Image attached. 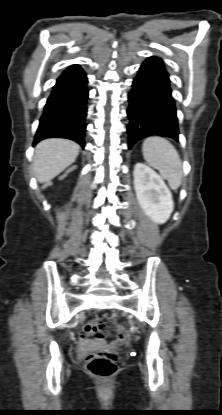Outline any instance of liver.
<instances>
[{
  "label": "liver",
  "instance_id": "liver-1",
  "mask_svg": "<svg viewBox=\"0 0 222 415\" xmlns=\"http://www.w3.org/2000/svg\"><path fill=\"white\" fill-rule=\"evenodd\" d=\"M80 146L68 139H46L35 149L33 172L40 183L58 176L77 158Z\"/></svg>",
  "mask_w": 222,
  "mask_h": 415
}]
</instances>
